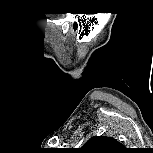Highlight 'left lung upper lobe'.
I'll use <instances>...</instances> for the list:
<instances>
[{"label": "left lung upper lobe", "instance_id": "obj_1", "mask_svg": "<svg viewBox=\"0 0 153 153\" xmlns=\"http://www.w3.org/2000/svg\"><path fill=\"white\" fill-rule=\"evenodd\" d=\"M122 148V145L113 138L98 136L91 138L82 146L86 153H110Z\"/></svg>", "mask_w": 153, "mask_h": 153}]
</instances>
